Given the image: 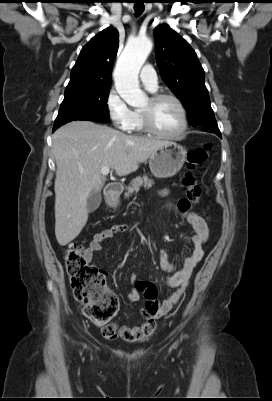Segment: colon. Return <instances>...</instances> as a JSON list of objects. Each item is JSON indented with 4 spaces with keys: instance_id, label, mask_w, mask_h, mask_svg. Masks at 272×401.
Here are the masks:
<instances>
[{
    "instance_id": "5ec220e1",
    "label": "colon",
    "mask_w": 272,
    "mask_h": 401,
    "mask_svg": "<svg viewBox=\"0 0 272 401\" xmlns=\"http://www.w3.org/2000/svg\"><path fill=\"white\" fill-rule=\"evenodd\" d=\"M210 149V144H203L188 152L189 171L183 178V185L187 188L189 202H197L201 195V188L192 170L206 161ZM65 267L73 295L79 303L84 305L85 316L96 326L103 328L104 336L111 337L113 330L110 321L119 303L117 297L106 288L103 272L87 262L83 247L76 244H70L66 249ZM137 286L146 299L142 313L152 315L157 312L158 304L151 302L153 298H157L156 286L150 282H140Z\"/></svg>"
}]
</instances>
